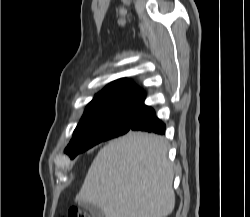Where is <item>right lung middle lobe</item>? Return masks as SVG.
I'll list each match as a JSON object with an SVG mask.
<instances>
[{"instance_id": "right-lung-middle-lobe-1", "label": "right lung middle lobe", "mask_w": 250, "mask_h": 217, "mask_svg": "<svg viewBox=\"0 0 250 217\" xmlns=\"http://www.w3.org/2000/svg\"><path fill=\"white\" fill-rule=\"evenodd\" d=\"M141 105L106 110L83 116L65 149L71 158L94 145L123 135L131 130Z\"/></svg>"}]
</instances>
